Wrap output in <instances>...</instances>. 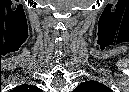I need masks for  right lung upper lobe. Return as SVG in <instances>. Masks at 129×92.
Masks as SVG:
<instances>
[{
	"label": "right lung upper lobe",
	"mask_w": 129,
	"mask_h": 92,
	"mask_svg": "<svg viewBox=\"0 0 129 92\" xmlns=\"http://www.w3.org/2000/svg\"><path fill=\"white\" fill-rule=\"evenodd\" d=\"M20 89H26L27 91L28 90H31V91L33 90L37 92L40 91V89L35 86H27V85L20 86Z\"/></svg>",
	"instance_id": "right-lung-upper-lobe-1"
}]
</instances>
